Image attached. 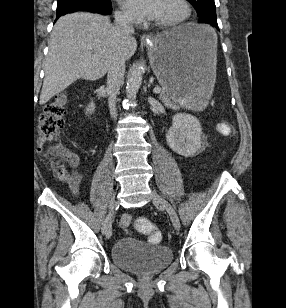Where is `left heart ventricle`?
Wrapping results in <instances>:
<instances>
[{
  "label": "left heart ventricle",
  "mask_w": 286,
  "mask_h": 308,
  "mask_svg": "<svg viewBox=\"0 0 286 308\" xmlns=\"http://www.w3.org/2000/svg\"><path fill=\"white\" fill-rule=\"evenodd\" d=\"M183 14V9L177 0H160L156 21H169L179 18Z\"/></svg>",
  "instance_id": "left-heart-ventricle-1"
}]
</instances>
